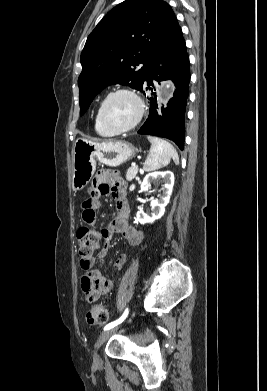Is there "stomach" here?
<instances>
[{
    "instance_id": "obj_1",
    "label": "stomach",
    "mask_w": 267,
    "mask_h": 391,
    "mask_svg": "<svg viewBox=\"0 0 267 391\" xmlns=\"http://www.w3.org/2000/svg\"><path fill=\"white\" fill-rule=\"evenodd\" d=\"M132 144L123 141H104L79 138L73 147L72 188L79 191L87 186L99 161L110 167H117L131 160L138 153Z\"/></svg>"
}]
</instances>
